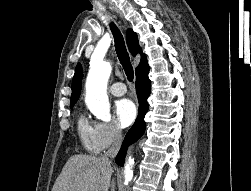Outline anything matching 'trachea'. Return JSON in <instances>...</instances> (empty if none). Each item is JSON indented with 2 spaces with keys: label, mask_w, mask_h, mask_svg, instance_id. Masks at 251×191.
<instances>
[{
  "label": "trachea",
  "mask_w": 251,
  "mask_h": 191,
  "mask_svg": "<svg viewBox=\"0 0 251 191\" xmlns=\"http://www.w3.org/2000/svg\"><path fill=\"white\" fill-rule=\"evenodd\" d=\"M110 29L114 37L117 56L120 60V63L123 66L127 79L129 81H133V77H134L133 67H132L126 46H125L123 36L120 30L117 28V26L114 23L110 24Z\"/></svg>",
  "instance_id": "obj_1"
}]
</instances>
